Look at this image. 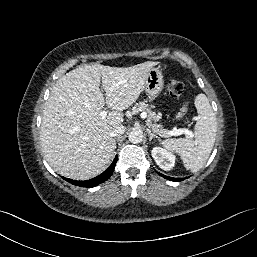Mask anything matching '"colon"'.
Wrapping results in <instances>:
<instances>
[{"label": "colon", "instance_id": "obj_1", "mask_svg": "<svg viewBox=\"0 0 257 257\" xmlns=\"http://www.w3.org/2000/svg\"><path fill=\"white\" fill-rule=\"evenodd\" d=\"M168 94L172 99H179L186 91L185 84L180 81L176 76L172 75L167 82ZM187 114V104L180 107L178 117L183 118Z\"/></svg>", "mask_w": 257, "mask_h": 257}]
</instances>
